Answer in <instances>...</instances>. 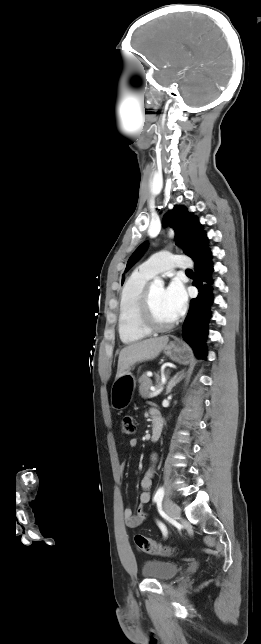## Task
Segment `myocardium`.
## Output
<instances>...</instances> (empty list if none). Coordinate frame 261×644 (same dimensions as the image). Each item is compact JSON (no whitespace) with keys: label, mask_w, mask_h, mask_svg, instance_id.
Listing matches in <instances>:
<instances>
[{"label":"myocardium","mask_w":261,"mask_h":644,"mask_svg":"<svg viewBox=\"0 0 261 644\" xmlns=\"http://www.w3.org/2000/svg\"><path fill=\"white\" fill-rule=\"evenodd\" d=\"M138 318L140 325L150 333L170 330L176 324V319L166 324H160L154 319L149 286H146L142 292L139 302Z\"/></svg>","instance_id":"f54148a6"}]
</instances>
